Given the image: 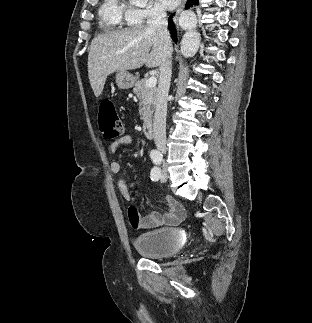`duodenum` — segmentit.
Returning a JSON list of instances; mask_svg holds the SVG:
<instances>
[{"label":"duodenum","instance_id":"1","mask_svg":"<svg viewBox=\"0 0 312 323\" xmlns=\"http://www.w3.org/2000/svg\"><path fill=\"white\" fill-rule=\"evenodd\" d=\"M142 127H143L144 135L147 138H151L152 139L154 137L152 118L146 117L145 119H143V121H142Z\"/></svg>","mask_w":312,"mask_h":323}]
</instances>
